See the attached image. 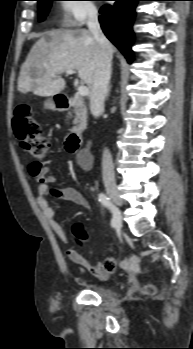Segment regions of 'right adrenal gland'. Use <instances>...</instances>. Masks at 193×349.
I'll use <instances>...</instances> for the list:
<instances>
[{"label":"right adrenal gland","instance_id":"obj_1","mask_svg":"<svg viewBox=\"0 0 193 349\" xmlns=\"http://www.w3.org/2000/svg\"><path fill=\"white\" fill-rule=\"evenodd\" d=\"M110 90H111V85H109V87H108V91H107V95H106V98H107V99H108V97H109Z\"/></svg>","mask_w":193,"mask_h":349}]
</instances>
